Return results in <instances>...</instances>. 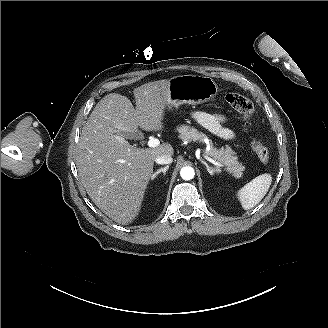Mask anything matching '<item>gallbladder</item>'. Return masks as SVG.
<instances>
[{
	"instance_id": "bac80fb5",
	"label": "gallbladder",
	"mask_w": 328,
	"mask_h": 328,
	"mask_svg": "<svg viewBox=\"0 0 328 328\" xmlns=\"http://www.w3.org/2000/svg\"><path fill=\"white\" fill-rule=\"evenodd\" d=\"M114 132H117L116 130H113ZM120 135H123L124 137L128 138V139H137V138H141L142 137V134L137 131L136 133L134 134H126L124 135L122 132H118Z\"/></svg>"
}]
</instances>
